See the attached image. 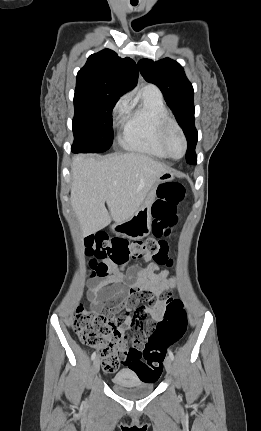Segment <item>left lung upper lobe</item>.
Segmentation results:
<instances>
[{"instance_id": "left-lung-upper-lobe-1", "label": "left lung upper lobe", "mask_w": 261, "mask_h": 431, "mask_svg": "<svg viewBox=\"0 0 261 431\" xmlns=\"http://www.w3.org/2000/svg\"><path fill=\"white\" fill-rule=\"evenodd\" d=\"M138 68L144 79L155 84L163 93L168 106L173 110L188 141L186 161L196 164L195 147L198 133L194 125L193 87L186 78L184 69L176 61L165 58L159 61L142 59Z\"/></svg>"}]
</instances>
